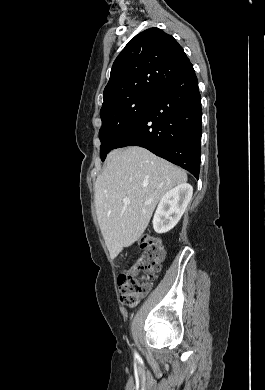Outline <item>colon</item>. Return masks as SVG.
<instances>
[{
  "instance_id": "1",
  "label": "colon",
  "mask_w": 265,
  "mask_h": 390,
  "mask_svg": "<svg viewBox=\"0 0 265 390\" xmlns=\"http://www.w3.org/2000/svg\"><path fill=\"white\" fill-rule=\"evenodd\" d=\"M139 245L141 253L118 277L120 300L126 305L136 303L149 292L164 258L163 246L157 236L146 234Z\"/></svg>"
}]
</instances>
